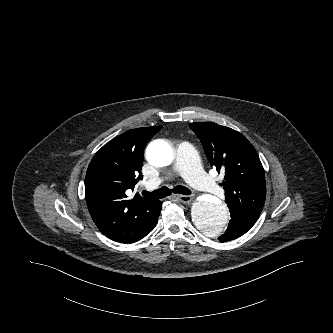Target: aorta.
Wrapping results in <instances>:
<instances>
[{
    "mask_svg": "<svg viewBox=\"0 0 333 333\" xmlns=\"http://www.w3.org/2000/svg\"><path fill=\"white\" fill-rule=\"evenodd\" d=\"M146 157L155 167L169 166L173 161V150L166 141L156 140L147 147ZM191 215L195 226L208 236L223 234L229 225L226 205L213 196L195 201Z\"/></svg>",
    "mask_w": 333,
    "mask_h": 333,
    "instance_id": "762f6f07",
    "label": "aorta"
}]
</instances>
